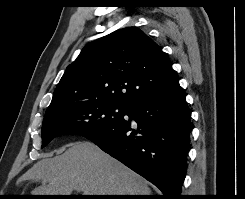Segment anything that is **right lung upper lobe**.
I'll list each match as a JSON object with an SVG mask.
<instances>
[{
    "instance_id": "1",
    "label": "right lung upper lobe",
    "mask_w": 245,
    "mask_h": 199,
    "mask_svg": "<svg viewBox=\"0 0 245 199\" xmlns=\"http://www.w3.org/2000/svg\"><path fill=\"white\" fill-rule=\"evenodd\" d=\"M177 84L161 48L140 29L124 28L83 48L58 83L45 116L87 103L128 107Z\"/></svg>"
}]
</instances>
